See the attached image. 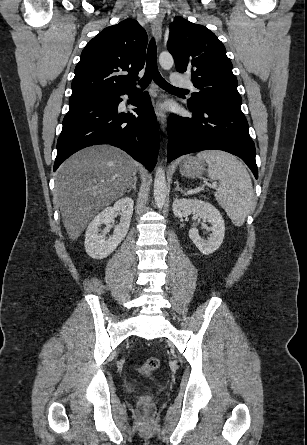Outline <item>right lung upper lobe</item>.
Here are the masks:
<instances>
[{"label":"right lung upper lobe","mask_w":307,"mask_h":445,"mask_svg":"<svg viewBox=\"0 0 307 445\" xmlns=\"http://www.w3.org/2000/svg\"><path fill=\"white\" fill-rule=\"evenodd\" d=\"M148 37L134 19L105 28L85 46L75 68L69 101L135 87ZM128 71V75L120 72Z\"/></svg>","instance_id":"obj_1"}]
</instances>
